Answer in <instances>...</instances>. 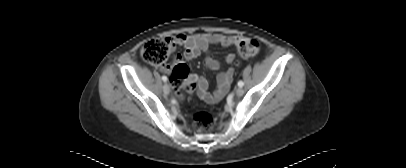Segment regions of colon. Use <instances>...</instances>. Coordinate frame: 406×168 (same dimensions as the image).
I'll list each match as a JSON object with an SVG mask.
<instances>
[{"mask_svg":"<svg viewBox=\"0 0 406 168\" xmlns=\"http://www.w3.org/2000/svg\"><path fill=\"white\" fill-rule=\"evenodd\" d=\"M261 45L258 40L242 41L239 44L238 53L241 58H250L260 52ZM172 50V41L169 38H156L145 43L141 48L142 58L154 65L163 64ZM189 73L186 64H178L173 68L172 78L174 81L175 95L179 100L186 98L185 91L193 90L195 84L181 85L180 79H185ZM195 129L201 133H209L214 125V118L207 112H199L193 118Z\"/></svg>","mask_w":406,"mask_h":168,"instance_id":"colon-1","label":"colon"}]
</instances>
